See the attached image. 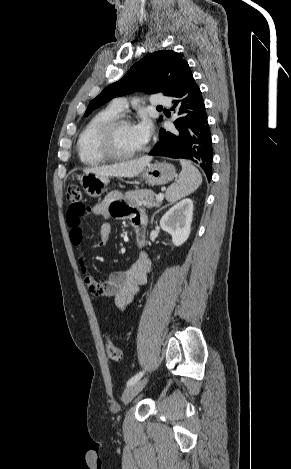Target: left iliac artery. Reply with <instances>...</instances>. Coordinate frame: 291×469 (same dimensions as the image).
<instances>
[{
  "label": "left iliac artery",
  "instance_id": "44dca946",
  "mask_svg": "<svg viewBox=\"0 0 291 469\" xmlns=\"http://www.w3.org/2000/svg\"><path fill=\"white\" fill-rule=\"evenodd\" d=\"M143 374H144V371H141L137 373L136 375H134L131 379L128 380L127 386H130L134 384L135 382H137L143 376Z\"/></svg>",
  "mask_w": 291,
  "mask_h": 469
}]
</instances>
